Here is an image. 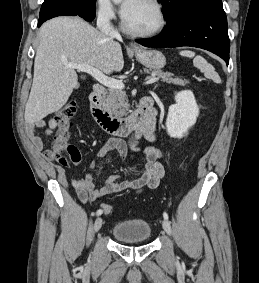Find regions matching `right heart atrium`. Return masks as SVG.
Listing matches in <instances>:
<instances>
[{
    "instance_id": "right-heart-atrium-1",
    "label": "right heart atrium",
    "mask_w": 259,
    "mask_h": 283,
    "mask_svg": "<svg viewBox=\"0 0 259 283\" xmlns=\"http://www.w3.org/2000/svg\"><path fill=\"white\" fill-rule=\"evenodd\" d=\"M96 14L100 19L109 21L115 17V8L110 0H96Z\"/></svg>"
}]
</instances>
